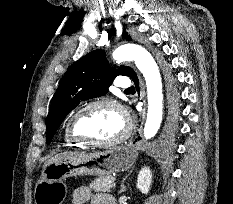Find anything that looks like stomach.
<instances>
[{
  "label": "stomach",
  "mask_w": 233,
  "mask_h": 204,
  "mask_svg": "<svg viewBox=\"0 0 233 204\" xmlns=\"http://www.w3.org/2000/svg\"><path fill=\"white\" fill-rule=\"evenodd\" d=\"M138 157L132 144L89 154H77L54 161L42 170L34 190L35 204H62L66 189L63 181L80 175L109 176L129 170Z\"/></svg>",
  "instance_id": "1"
}]
</instances>
